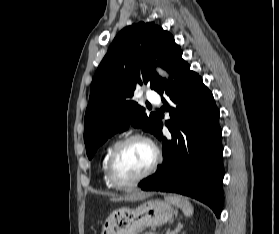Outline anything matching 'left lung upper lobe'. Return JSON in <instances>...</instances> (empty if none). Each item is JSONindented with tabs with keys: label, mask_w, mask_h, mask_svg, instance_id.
<instances>
[{
	"label": "left lung upper lobe",
	"mask_w": 279,
	"mask_h": 234,
	"mask_svg": "<svg viewBox=\"0 0 279 234\" xmlns=\"http://www.w3.org/2000/svg\"><path fill=\"white\" fill-rule=\"evenodd\" d=\"M179 50L173 36L155 23L139 22L118 33L90 86L84 129L89 159L109 137L129 125L155 135L159 118L154 113L147 116L132 97L143 84L150 83L156 90L162 78L154 67L167 70Z\"/></svg>",
	"instance_id": "left-lung-upper-lobe-1"
}]
</instances>
